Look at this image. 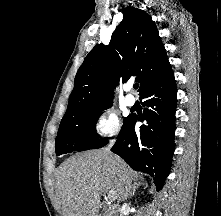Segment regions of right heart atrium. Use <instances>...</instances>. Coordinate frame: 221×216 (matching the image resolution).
<instances>
[{
	"mask_svg": "<svg viewBox=\"0 0 221 216\" xmlns=\"http://www.w3.org/2000/svg\"><path fill=\"white\" fill-rule=\"evenodd\" d=\"M93 130L99 138L117 136L120 132V120L116 112L110 109L101 111L94 121Z\"/></svg>",
	"mask_w": 221,
	"mask_h": 216,
	"instance_id": "d8ad5b80",
	"label": "right heart atrium"
}]
</instances>
